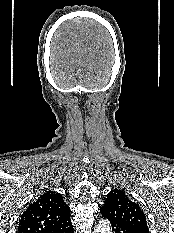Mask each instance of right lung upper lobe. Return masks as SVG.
Returning a JSON list of instances; mask_svg holds the SVG:
<instances>
[{
    "label": "right lung upper lobe",
    "instance_id": "cb5924a9",
    "mask_svg": "<svg viewBox=\"0 0 174 233\" xmlns=\"http://www.w3.org/2000/svg\"><path fill=\"white\" fill-rule=\"evenodd\" d=\"M71 225L70 208L61 194L47 191L21 215L18 233H56Z\"/></svg>",
    "mask_w": 174,
    "mask_h": 233
}]
</instances>
